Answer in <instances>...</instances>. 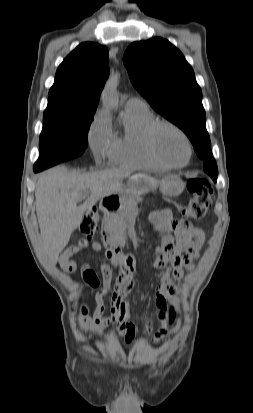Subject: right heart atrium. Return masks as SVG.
I'll return each mask as SVG.
<instances>
[{
    "label": "right heart atrium",
    "instance_id": "right-heart-atrium-1",
    "mask_svg": "<svg viewBox=\"0 0 253 413\" xmlns=\"http://www.w3.org/2000/svg\"><path fill=\"white\" fill-rule=\"evenodd\" d=\"M88 141L95 160L100 163L109 155L114 136L104 112L96 115L89 131Z\"/></svg>",
    "mask_w": 253,
    "mask_h": 413
}]
</instances>
